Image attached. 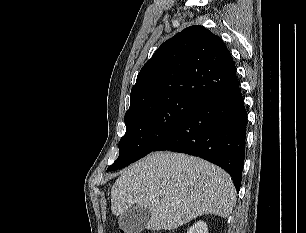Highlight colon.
<instances>
[{"label":"colon","instance_id":"obj_1","mask_svg":"<svg viewBox=\"0 0 306 233\" xmlns=\"http://www.w3.org/2000/svg\"><path fill=\"white\" fill-rule=\"evenodd\" d=\"M113 233H125V232H124V231H120V232L115 231V232H113ZM152 233H158V232H152ZM160 233H169V232L164 231V232H160Z\"/></svg>","mask_w":306,"mask_h":233}]
</instances>
